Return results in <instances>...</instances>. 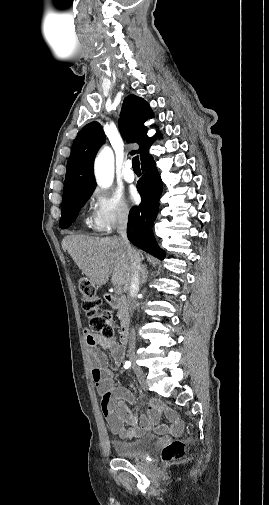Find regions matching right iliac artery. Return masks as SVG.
Listing matches in <instances>:
<instances>
[{"mask_svg": "<svg viewBox=\"0 0 269 505\" xmlns=\"http://www.w3.org/2000/svg\"><path fill=\"white\" fill-rule=\"evenodd\" d=\"M131 367V363L129 361H125L124 368L129 369Z\"/></svg>", "mask_w": 269, "mask_h": 505, "instance_id": "82829eb1", "label": "right iliac artery"}]
</instances>
